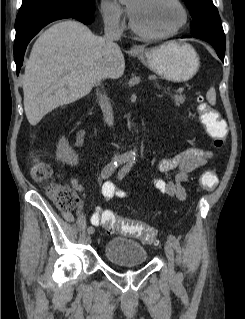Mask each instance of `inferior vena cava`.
<instances>
[{"label":"inferior vena cava","instance_id":"602c4592","mask_svg":"<svg viewBox=\"0 0 245 319\" xmlns=\"http://www.w3.org/2000/svg\"><path fill=\"white\" fill-rule=\"evenodd\" d=\"M104 45L108 52L120 51V48L115 41H118L121 37V32L119 29V15L116 13H107L104 15ZM104 76L99 73L96 78V84L102 86V81ZM102 112L105 122L109 127L114 125V115L112 105L105 95L102 97ZM118 156L115 155V158Z\"/></svg>","mask_w":245,"mask_h":319}]
</instances>
